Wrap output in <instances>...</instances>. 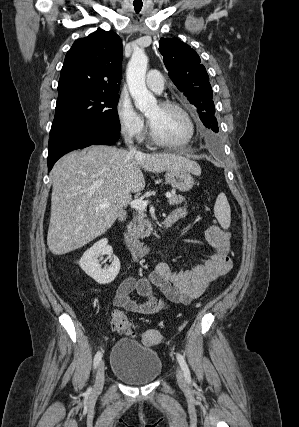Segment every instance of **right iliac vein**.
<instances>
[{
	"label": "right iliac vein",
	"mask_w": 299,
	"mask_h": 427,
	"mask_svg": "<svg viewBox=\"0 0 299 427\" xmlns=\"http://www.w3.org/2000/svg\"><path fill=\"white\" fill-rule=\"evenodd\" d=\"M104 379H105V363L104 361H101L96 373V379L94 384L95 392H99L102 390L104 385Z\"/></svg>",
	"instance_id": "1"
}]
</instances>
